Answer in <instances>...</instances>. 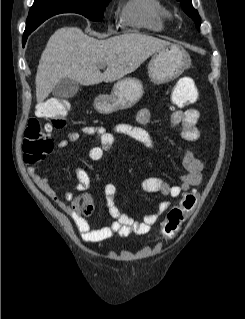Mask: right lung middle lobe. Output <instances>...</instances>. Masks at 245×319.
Masks as SVG:
<instances>
[{"instance_id":"right-lung-middle-lobe-1","label":"right lung middle lobe","mask_w":245,"mask_h":319,"mask_svg":"<svg viewBox=\"0 0 245 319\" xmlns=\"http://www.w3.org/2000/svg\"><path fill=\"white\" fill-rule=\"evenodd\" d=\"M109 1L110 0H70L64 1L63 6L67 12L79 13L93 21H100L104 16V8ZM34 20L35 19H32L31 22Z\"/></svg>"}]
</instances>
